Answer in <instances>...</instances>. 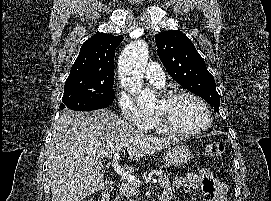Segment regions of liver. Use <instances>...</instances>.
Returning <instances> with one entry per match:
<instances>
[{
	"label": "liver",
	"mask_w": 271,
	"mask_h": 201,
	"mask_svg": "<svg viewBox=\"0 0 271 201\" xmlns=\"http://www.w3.org/2000/svg\"><path fill=\"white\" fill-rule=\"evenodd\" d=\"M175 142L136 130L108 109L65 110L48 147L52 201H81L100 190L104 178L101 159L105 156L126 147L128 159L139 160Z\"/></svg>",
	"instance_id": "1"
}]
</instances>
